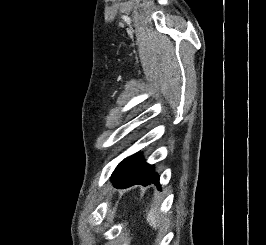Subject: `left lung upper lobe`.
Listing matches in <instances>:
<instances>
[{
    "label": "left lung upper lobe",
    "mask_w": 266,
    "mask_h": 245,
    "mask_svg": "<svg viewBox=\"0 0 266 245\" xmlns=\"http://www.w3.org/2000/svg\"><path fill=\"white\" fill-rule=\"evenodd\" d=\"M137 158V154L126 158L125 160H123L118 167L116 168V170L113 173V177L115 176H119V175H124L126 173H128V171L131 169V167L133 166V164L135 163Z\"/></svg>",
    "instance_id": "5c2ea615"
}]
</instances>
